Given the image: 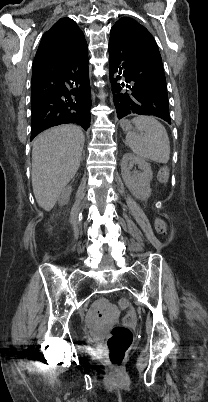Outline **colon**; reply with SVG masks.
<instances>
[{"label":"colon","instance_id":"1","mask_svg":"<svg viewBox=\"0 0 208 402\" xmlns=\"http://www.w3.org/2000/svg\"><path fill=\"white\" fill-rule=\"evenodd\" d=\"M168 178L169 171L167 167H163L159 174V180L162 184H166ZM154 225L157 232L161 236L167 237L169 227L164 218L156 217L154 220ZM121 307L126 309L124 314V324L109 325L110 335L107 342V349L109 352V361L113 364H120L124 360L126 351L131 341V336L133 335V332L130 330L131 327L135 326V319L132 318L135 313L134 308H132V302L128 301V299H123Z\"/></svg>","mask_w":208,"mask_h":402}]
</instances>
